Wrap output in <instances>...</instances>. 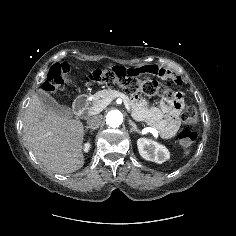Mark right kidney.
Listing matches in <instances>:
<instances>
[{"label": "right kidney", "instance_id": "right-kidney-1", "mask_svg": "<svg viewBox=\"0 0 236 236\" xmlns=\"http://www.w3.org/2000/svg\"><path fill=\"white\" fill-rule=\"evenodd\" d=\"M90 148H91V144L89 142L84 144V152L86 153L89 152Z\"/></svg>", "mask_w": 236, "mask_h": 236}]
</instances>
